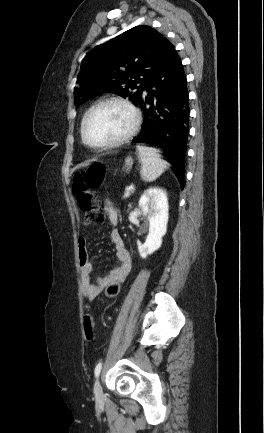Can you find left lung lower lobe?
<instances>
[{"instance_id":"left-lung-lower-lobe-1","label":"left lung lower lobe","mask_w":264,"mask_h":433,"mask_svg":"<svg viewBox=\"0 0 264 433\" xmlns=\"http://www.w3.org/2000/svg\"><path fill=\"white\" fill-rule=\"evenodd\" d=\"M145 91L137 103L143 111L144 121L134 142L161 148L183 187L189 132V93L183 65L175 49L148 82Z\"/></svg>"}]
</instances>
